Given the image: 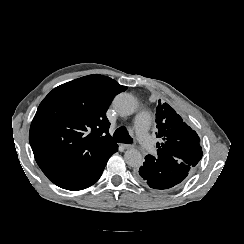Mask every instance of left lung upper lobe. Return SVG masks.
<instances>
[{
  "label": "left lung upper lobe",
  "instance_id": "1",
  "mask_svg": "<svg viewBox=\"0 0 244 244\" xmlns=\"http://www.w3.org/2000/svg\"><path fill=\"white\" fill-rule=\"evenodd\" d=\"M157 137L162 143H157L158 156H172L179 163L195 167L202 158L200 139L197 133L188 126L176 111L167 103H161L156 108Z\"/></svg>",
  "mask_w": 244,
  "mask_h": 244
}]
</instances>
